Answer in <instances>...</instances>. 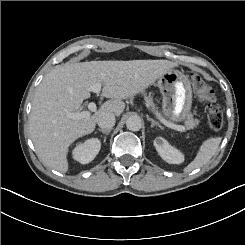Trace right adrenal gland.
I'll return each instance as SVG.
<instances>
[{"mask_svg":"<svg viewBox=\"0 0 245 245\" xmlns=\"http://www.w3.org/2000/svg\"><path fill=\"white\" fill-rule=\"evenodd\" d=\"M100 132H102L103 134L108 135L111 132V129H98ZM106 139V137H105Z\"/></svg>","mask_w":245,"mask_h":245,"instance_id":"obj_1","label":"right adrenal gland"}]
</instances>
